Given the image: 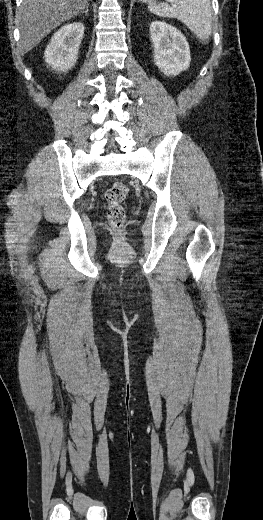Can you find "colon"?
<instances>
[{"mask_svg": "<svg viewBox=\"0 0 263 520\" xmlns=\"http://www.w3.org/2000/svg\"><path fill=\"white\" fill-rule=\"evenodd\" d=\"M128 194V187L123 182L112 183L105 191L106 215L110 224L119 229L126 221L123 202Z\"/></svg>", "mask_w": 263, "mask_h": 520, "instance_id": "obj_1", "label": "colon"}]
</instances>
